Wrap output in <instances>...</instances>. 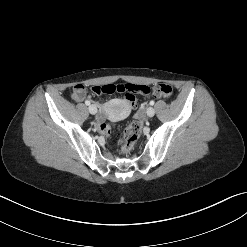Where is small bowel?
I'll return each mask as SVG.
<instances>
[{
  "mask_svg": "<svg viewBox=\"0 0 247 247\" xmlns=\"http://www.w3.org/2000/svg\"><path fill=\"white\" fill-rule=\"evenodd\" d=\"M85 97H86V94H83V95H81V96H77V95H74V94H73L74 100H76V101H78V102L82 101ZM102 121H103V117L100 116V117L98 118V123L100 124V126L103 124Z\"/></svg>",
  "mask_w": 247,
  "mask_h": 247,
  "instance_id": "c3829d8e",
  "label": "small bowel"
}]
</instances>
